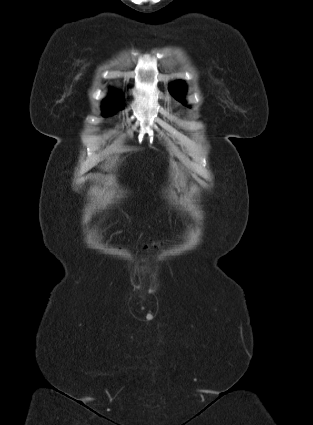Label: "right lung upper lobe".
Returning a JSON list of instances; mask_svg holds the SVG:
<instances>
[{"label":"right lung upper lobe","instance_id":"right-lung-upper-lobe-1","mask_svg":"<svg viewBox=\"0 0 313 425\" xmlns=\"http://www.w3.org/2000/svg\"><path fill=\"white\" fill-rule=\"evenodd\" d=\"M120 99H121L120 98V95H118V93L115 90L111 89L108 98H106L104 100V102H112V101H114V102L120 103Z\"/></svg>","mask_w":313,"mask_h":425}]
</instances>
